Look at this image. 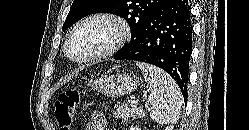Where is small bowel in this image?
<instances>
[{
	"mask_svg": "<svg viewBox=\"0 0 249 130\" xmlns=\"http://www.w3.org/2000/svg\"><path fill=\"white\" fill-rule=\"evenodd\" d=\"M107 119L105 115L98 110L91 113L89 121L85 125V130H106Z\"/></svg>",
	"mask_w": 249,
	"mask_h": 130,
	"instance_id": "small-bowel-1",
	"label": "small bowel"
}]
</instances>
